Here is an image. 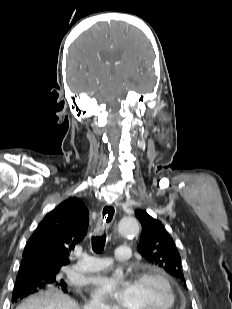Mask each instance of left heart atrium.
<instances>
[{"instance_id":"left-heart-atrium-1","label":"left heart atrium","mask_w":232,"mask_h":309,"mask_svg":"<svg viewBox=\"0 0 232 309\" xmlns=\"http://www.w3.org/2000/svg\"><path fill=\"white\" fill-rule=\"evenodd\" d=\"M92 289L102 298L115 299L127 307L130 302L132 282L119 272H105L89 280Z\"/></svg>"}]
</instances>
